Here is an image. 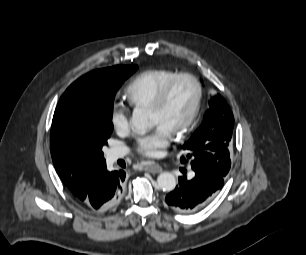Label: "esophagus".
<instances>
[{
	"mask_svg": "<svg viewBox=\"0 0 306 255\" xmlns=\"http://www.w3.org/2000/svg\"><path fill=\"white\" fill-rule=\"evenodd\" d=\"M144 170L152 174H157L162 171V167L158 164L151 163V164L144 166Z\"/></svg>",
	"mask_w": 306,
	"mask_h": 255,
	"instance_id": "esophagus-1",
	"label": "esophagus"
}]
</instances>
